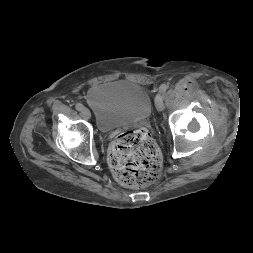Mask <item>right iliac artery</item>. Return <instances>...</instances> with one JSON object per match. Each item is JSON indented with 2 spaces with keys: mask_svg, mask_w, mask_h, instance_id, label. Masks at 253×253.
I'll list each match as a JSON object with an SVG mask.
<instances>
[{
  "mask_svg": "<svg viewBox=\"0 0 253 253\" xmlns=\"http://www.w3.org/2000/svg\"><path fill=\"white\" fill-rule=\"evenodd\" d=\"M75 107H76V109H77L78 111H82L83 108H84V106H83L81 103H76V104H75Z\"/></svg>",
  "mask_w": 253,
  "mask_h": 253,
  "instance_id": "1",
  "label": "right iliac artery"
}]
</instances>
